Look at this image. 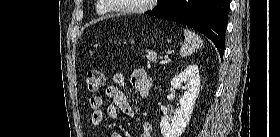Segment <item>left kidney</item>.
<instances>
[{
	"label": "left kidney",
	"mask_w": 280,
	"mask_h": 137,
	"mask_svg": "<svg viewBox=\"0 0 280 137\" xmlns=\"http://www.w3.org/2000/svg\"><path fill=\"white\" fill-rule=\"evenodd\" d=\"M183 83L185 86H182ZM171 86L174 89L185 91L179 101L180 109L178 113L171 118V122L168 116L162 117L160 128L163 137H180L190 121L199 94L200 75L198 66L195 64L187 66L172 79Z\"/></svg>",
	"instance_id": "1"
}]
</instances>
